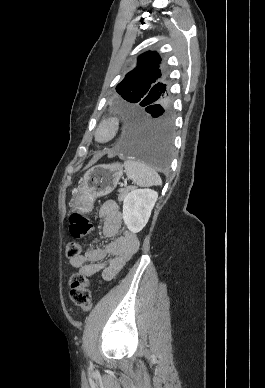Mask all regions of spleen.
Masks as SVG:
<instances>
[{"label":"spleen","instance_id":"obj_1","mask_svg":"<svg viewBox=\"0 0 265 388\" xmlns=\"http://www.w3.org/2000/svg\"><path fill=\"white\" fill-rule=\"evenodd\" d=\"M126 176L128 180H132L133 184L141 186V188H148V186H161V178L157 172L140 162V160H134V158H128L124 162Z\"/></svg>","mask_w":265,"mask_h":388}]
</instances>
